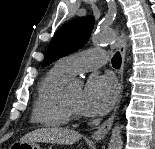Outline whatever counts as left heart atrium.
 <instances>
[{
    "label": "left heart atrium",
    "instance_id": "obj_1",
    "mask_svg": "<svg viewBox=\"0 0 155 149\" xmlns=\"http://www.w3.org/2000/svg\"><path fill=\"white\" fill-rule=\"evenodd\" d=\"M117 93L118 87L113 77H92L82 92L79 110L86 116H102L112 107Z\"/></svg>",
    "mask_w": 155,
    "mask_h": 149
}]
</instances>
